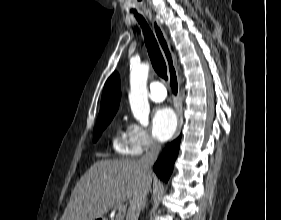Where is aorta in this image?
Segmentation results:
<instances>
[{"instance_id": "aorta-1", "label": "aorta", "mask_w": 281, "mask_h": 220, "mask_svg": "<svg viewBox=\"0 0 281 220\" xmlns=\"http://www.w3.org/2000/svg\"><path fill=\"white\" fill-rule=\"evenodd\" d=\"M149 65L142 63L132 68L130 73L129 103L132 113L141 125H148L150 112L147 91Z\"/></svg>"}]
</instances>
